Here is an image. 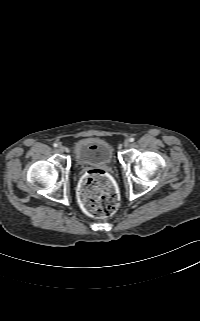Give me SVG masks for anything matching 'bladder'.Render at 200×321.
I'll return each mask as SVG.
<instances>
[{
  "label": "bladder",
  "mask_w": 200,
  "mask_h": 321,
  "mask_svg": "<svg viewBox=\"0 0 200 321\" xmlns=\"http://www.w3.org/2000/svg\"><path fill=\"white\" fill-rule=\"evenodd\" d=\"M73 156L79 165L110 164L115 157L113 145L98 137L79 140L73 147Z\"/></svg>",
  "instance_id": "bladder-1"
}]
</instances>
